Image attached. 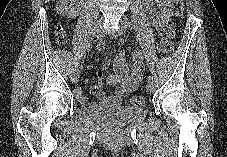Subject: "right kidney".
<instances>
[{"mask_svg": "<svg viewBox=\"0 0 227 157\" xmlns=\"http://www.w3.org/2000/svg\"><path fill=\"white\" fill-rule=\"evenodd\" d=\"M61 5L57 7V10L62 13L63 16H67L69 18H74L77 16V11L76 8L71 7L70 5L68 6V1L67 0H60L59 1ZM72 2V1H71Z\"/></svg>", "mask_w": 227, "mask_h": 157, "instance_id": "ca27d5eb", "label": "right kidney"}]
</instances>
